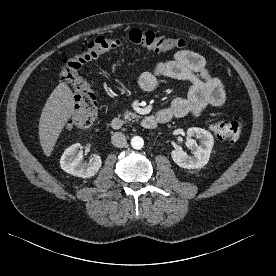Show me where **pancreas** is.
<instances>
[{
	"label": "pancreas",
	"instance_id": "pancreas-1",
	"mask_svg": "<svg viewBox=\"0 0 276 276\" xmlns=\"http://www.w3.org/2000/svg\"><path fill=\"white\" fill-rule=\"evenodd\" d=\"M124 119L131 121V120H138L140 116H138L136 113L131 112V111H125L123 113Z\"/></svg>",
	"mask_w": 276,
	"mask_h": 276
}]
</instances>
